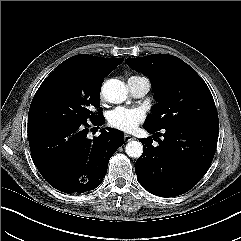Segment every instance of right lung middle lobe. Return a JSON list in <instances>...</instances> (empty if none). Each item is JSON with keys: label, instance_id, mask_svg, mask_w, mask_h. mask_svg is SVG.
<instances>
[{"label": "right lung middle lobe", "instance_id": "1", "mask_svg": "<svg viewBox=\"0 0 241 241\" xmlns=\"http://www.w3.org/2000/svg\"><path fill=\"white\" fill-rule=\"evenodd\" d=\"M100 85L79 77L75 67L62 62L44 80L29 109L28 126L48 122L85 123L101 113Z\"/></svg>", "mask_w": 241, "mask_h": 241}]
</instances>
